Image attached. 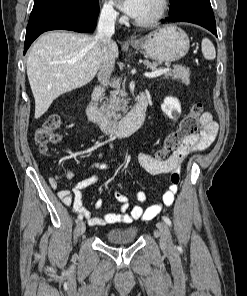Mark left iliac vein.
<instances>
[{
	"label": "left iliac vein",
	"mask_w": 247,
	"mask_h": 296,
	"mask_svg": "<svg viewBox=\"0 0 247 296\" xmlns=\"http://www.w3.org/2000/svg\"><path fill=\"white\" fill-rule=\"evenodd\" d=\"M157 228L160 233V246L165 251L173 250V242L169 227L164 222H158Z\"/></svg>",
	"instance_id": "4c4485c4"
}]
</instances>
